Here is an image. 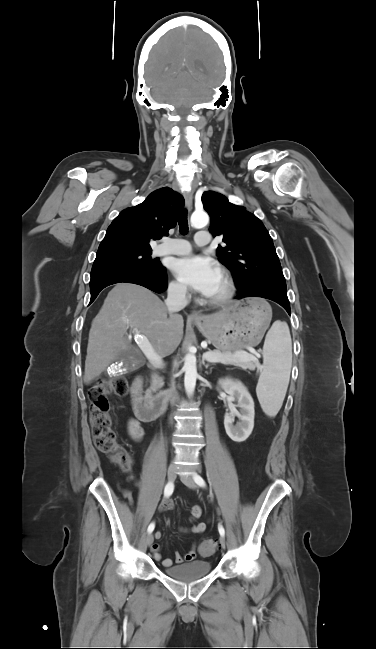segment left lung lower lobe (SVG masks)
I'll list each match as a JSON object with an SVG mask.
<instances>
[{"instance_id":"0a47b994","label":"left lung lower lobe","mask_w":376,"mask_h":649,"mask_svg":"<svg viewBox=\"0 0 376 649\" xmlns=\"http://www.w3.org/2000/svg\"><path fill=\"white\" fill-rule=\"evenodd\" d=\"M245 297H262L272 300L281 305L290 315V303L287 297V292L281 291L267 283H256L255 287L240 292L235 298L242 299Z\"/></svg>"}]
</instances>
